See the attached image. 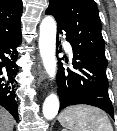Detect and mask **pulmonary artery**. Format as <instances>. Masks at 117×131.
<instances>
[{
  "mask_svg": "<svg viewBox=\"0 0 117 131\" xmlns=\"http://www.w3.org/2000/svg\"><path fill=\"white\" fill-rule=\"evenodd\" d=\"M65 49L69 54H72V48L69 43H65Z\"/></svg>",
  "mask_w": 117,
  "mask_h": 131,
  "instance_id": "pulmonary-artery-1",
  "label": "pulmonary artery"
}]
</instances>
